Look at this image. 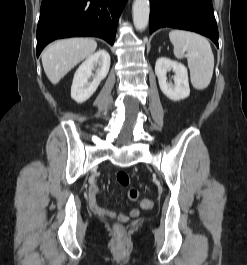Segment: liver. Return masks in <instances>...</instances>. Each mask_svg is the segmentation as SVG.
<instances>
[{
	"label": "liver",
	"instance_id": "obj_1",
	"mask_svg": "<svg viewBox=\"0 0 247 265\" xmlns=\"http://www.w3.org/2000/svg\"><path fill=\"white\" fill-rule=\"evenodd\" d=\"M96 48V41L88 38L55 41L42 54L46 76L52 84H57L78 63L91 56Z\"/></svg>",
	"mask_w": 247,
	"mask_h": 265
}]
</instances>
